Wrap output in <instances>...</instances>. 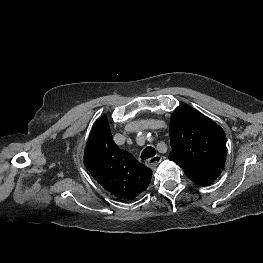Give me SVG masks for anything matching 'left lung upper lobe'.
<instances>
[{"mask_svg": "<svg viewBox=\"0 0 263 263\" xmlns=\"http://www.w3.org/2000/svg\"><path fill=\"white\" fill-rule=\"evenodd\" d=\"M169 159L188 174L219 176L226 162L224 130L196 109L178 107L170 120Z\"/></svg>", "mask_w": 263, "mask_h": 263, "instance_id": "5c2ea615", "label": "left lung upper lobe"}]
</instances>
